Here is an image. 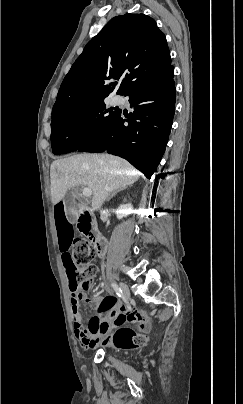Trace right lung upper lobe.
Here are the masks:
<instances>
[{
  "mask_svg": "<svg viewBox=\"0 0 243 404\" xmlns=\"http://www.w3.org/2000/svg\"><path fill=\"white\" fill-rule=\"evenodd\" d=\"M171 66L166 37L144 14L112 18L84 47L64 78L52 117L90 101L107 97L123 78L117 94L126 95Z\"/></svg>",
  "mask_w": 243,
  "mask_h": 404,
  "instance_id": "obj_1",
  "label": "right lung upper lobe"
}]
</instances>
